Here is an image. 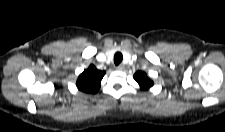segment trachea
<instances>
[{
    "label": "trachea",
    "instance_id": "1",
    "mask_svg": "<svg viewBox=\"0 0 225 132\" xmlns=\"http://www.w3.org/2000/svg\"><path fill=\"white\" fill-rule=\"evenodd\" d=\"M123 56L120 52L115 53L114 55V63L115 65H119L122 62Z\"/></svg>",
    "mask_w": 225,
    "mask_h": 132
}]
</instances>
